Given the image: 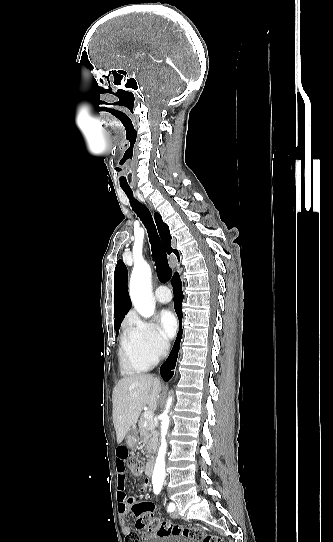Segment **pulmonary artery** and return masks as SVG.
I'll list each match as a JSON object with an SVG mask.
<instances>
[{"label": "pulmonary artery", "instance_id": "obj_1", "mask_svg": "<svg viewBox=\"0 0 333 542\" xmlns=\"http://www.w3.org/2000/svg\"><path fill=\"white\" fill-rule=\"evenodd\" d=\"M158 291V295L155 294V299L160 304H167L170 302V293L166 285L161 284L156 288L155 292Z\"/></svg>", "mask_w": 333, "mask_h": 542}]
</instances>
